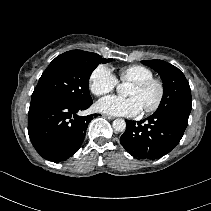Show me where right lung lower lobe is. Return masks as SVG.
Segmentation results:
<instances>
[{
  "instance_id": "98d812e1",
  "label": "right lung lower lobe",
  "mask_w": 211,
  "mask_h": 211,
  "mask_svg": "<svg viewBox=\"0 0 211 211\" xmlns=\"http://www.w3.org/2000/svg\"><path fill=\"white\" fill-rule=\"evenodd\" d=\"M91 104L76 106L56 100H31L28 134L36 151L55 163L71 157L80 148L93 117L77 113Z\"/></svg>"
}]
</instances>
